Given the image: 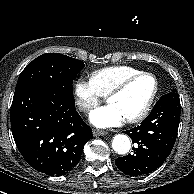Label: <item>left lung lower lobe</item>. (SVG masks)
<instances>
[{"label":"left lung lower lobe","mask_w":194,"mask_h":194,"mask_svg":"<svg viewBox=\"0 0 194 194\" xmlns=\"http://www.w3.org/2000/svg\"><path fill=\"white\" fill-rule=\"evenodd\" d=\"M179 121L178 93L162 96L139 126L125 131L135 147L132 154L116 159L118 169L129 176H140L159 168L173 149Z\"/></svg>","instance_id":"obj_1"}]
</instances>
